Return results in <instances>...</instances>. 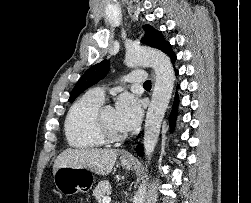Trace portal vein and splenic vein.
I'll return each mask as SVG.
<instances>
[{
	"instance_id": "18ae733b",
	"label": "portal vein and splenic vein",
	"mask_w": 251,
	"mask_h": 203,
	"mask_svg": "<svg viewBox=\"0 0 251 203\" xmlns=\"http://www.w3.org/2000/svg\"><path fill=\"white\" fill-rule=\"evenodd\" d=\"M110 201H111V198L110 197H104L103 199H102V203H110Z\"/></svg>"
}]
</instances>
